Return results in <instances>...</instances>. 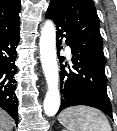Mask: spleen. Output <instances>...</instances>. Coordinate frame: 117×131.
Segmentation results:
<instances>
[{
  "label": "spleen",
  "mask_w": 117,
  "mask_h": 131,
  "mask_svg": "<svg viewBox=\"0 0 117 131\" xmlns=\"http://www.w3.org/2000/svg\"><path fill=\"white\" fill-rule=\"evenodd\" d=\"M58 121L68 131H112L107 117L101 111L87 106L65 109Z\"/></svg>",
  "instance_id": "obj_1"
}]
</instances>
